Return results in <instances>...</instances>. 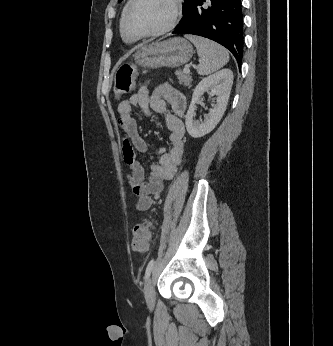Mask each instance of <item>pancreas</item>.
Masks as SVG:
<instances>
[{"label": "pancreas", "mask_w": 333, "mask_h": 346, "mask_svg": "<svg viewBox=\"0 0 333 346\" xmlns=\"http://www.w3.org/2000/svg\"><path fill=\"white\" fill-rule=\"evenodd\" d=\"M176 75L178 77V80H179L180 84H183L186 87H190L191 86L192 78H191L189 73H185L184 71L177 70L176 71Z\"/></svg>", "instance_id": "obj_1"}]
</instances>
